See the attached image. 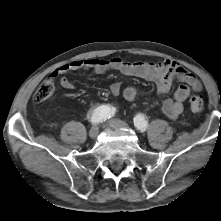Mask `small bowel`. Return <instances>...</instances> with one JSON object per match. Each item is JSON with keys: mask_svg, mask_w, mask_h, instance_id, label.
I'll use <instances>...</instances> for the list:
<instances>
[{"mask_svg": "<svg viewBox=\"0 0 221 221\" xmlns=\"http://www.w3.org/2000/svg\"><path fill=\"white\" fill-rule=\"evenodd\" d=\"M78 70H92L96 74L114 70L124 75L142 78L154 83L161 95L170 91L175 80L180 81L182 85L176 89L174 95L162 103V111L170 119H176L184 112V102L192 91L202 90V84L196 76L167 59L147 62L127 61L118 56L111 59L87 58L62 65L51 73L50 78H58L62 88L73 90L75 85L66 75ZM110 91L113 95H122L127 101H135L138 98V91L134 86L123 88L120 82H114Z\"/></svg>", "mask_w": 221, "mask_h": 221, "instance_id": "obj_1", "label": "small bowel"}]
</instances>
